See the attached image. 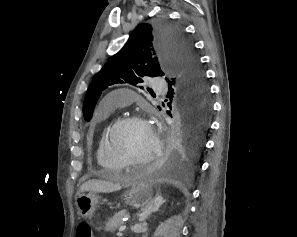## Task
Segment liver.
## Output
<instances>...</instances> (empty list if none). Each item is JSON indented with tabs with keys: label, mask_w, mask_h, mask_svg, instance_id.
<instances>
[{
	"label": "liver",
	"mask_w": 297,
	"mask_h": 237,
	"mask_svg": "<svg viewBox=\"0 0 297 237\" xmlns=\"http://www.w3.org/2000/svg\"><path fill=\"white\" fill-rule=\"evenodd\" d=\"M121 189L119 184H113L111 182L103 181V180H88L80 187L81 192L90 191V192H101V193H109L118 191Z\"/></svg>",
	"instance_id": "liver-1"
}]
</instances>
